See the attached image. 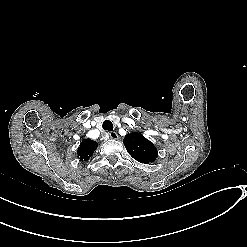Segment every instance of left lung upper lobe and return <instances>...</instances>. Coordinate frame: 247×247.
<instances>
[{
	"label": "left lung upper lobe",
	"instance_id": "5c2ea615",
	"mask_svg": "<svg viewBox=\"0 0 247 247\" xmlns=\"http://www.w3.org/2000/svg\"><path fill=\"white\" fill-rule=\"evenodd\" d=\"M123 143L131 157L140 163L148 164L157 157V149L154 144L138 132L126 135Z\"/></svg>",
	"mask_w": 247,
	"mask_h": 247
}]
</instances>
